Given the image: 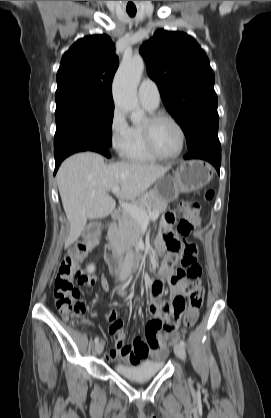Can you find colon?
Listing matches in <instances>:
<instances>
[{
  "label": "colon",
  "instance_id": "5ec220e1",
  "mask_svg": "<svg viewBox=\"0 0 271 418\" xmlns=\"http://www.w3.org/2000/svg\"><path fill=\"white\" fill-rule=\"evenodd\" d=\"M212 197L213 191L209 190L206 193V198L211 199ZM179 209L182 217L178 223V232L182 236L187 237L192 231L197 229L200 224L201 207L200 204L195 201L184 199L179 202ZM170 220L171 215H166L165 222L169 223ZM99 235L100 225L95 224L91 227L89 237L77 243V245L69 251L56 275L54 289L55 304L59 313L67 320L83 321L82 315L84 314L86 307L80 297V291L75 287L74 283L86 281V277L82 275L78 264L83 255L96 243ZM163 239L171 252L182 251L183 253L178 276H187L190 279L199 278L201 267L194 255V247L190 244H185L182 248L181 243L169 232L163 233ZM203 298L204 291L202 286H198L192 291L189 298V309L184 317L185 328H190L196 323L198 311L203 303ZM174 305L177 309L184 310L186 299L182 296L177 297L174 300ZM164 328L169 331L173 330L171 323H166Z\"/></svg>",
  "mask_w": 271,
  "mask_h": 418
}]
</instances>
